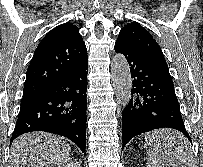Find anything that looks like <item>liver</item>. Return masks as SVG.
Instances as JSON below:
<instances>
[{
	"instance_id": "liver-1",
	"label": "liver",
	"mask_w": 203,
	"mask_h": 167,
	"mask_svg": "<svg viewBox=\"0 0 203 167\" xmlns=\"http://www.w3.org/2000/svg\"><path fill=\"white\" fill-rule=\"evenodd\" d=\"M167 129L147 134L160 145L172 134ZM71 147L66 139L45 132L27 133L13 141L9 167H63L70 158Z\"/></svg>"
}]
</instances>
